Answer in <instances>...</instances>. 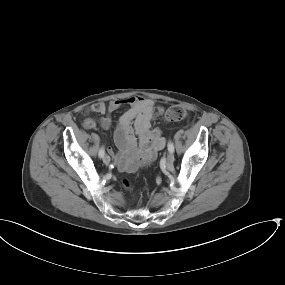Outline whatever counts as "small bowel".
Returning a JSON list of instances; mask_svg holds the SVG:
<instances>
[{"instance_id":"1","label":"small bowel","mask_w":285,"mask_h":285,"mask_svg":"<svg viewBox=\"0 0 285 285\" xmlns=\"http://www.w3.org/2000/svg\"><path fill=\"white\" fill-rule=\"evenodd\" d=\"M123 107H127V110L121 116L115 132V142L119 148L115 161L121 171L133 173L140 167L150 166L165 146L161 131L151 127L157 111L155 101L133 96L109 103L97 102L90 105L86 113L102 115L99 125L108 129L113 125L112 114ZM83 125L91 129L95 127V121L88 116Z\"/></svg>"}]
</instances>
